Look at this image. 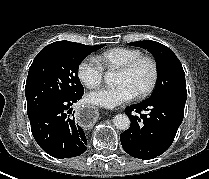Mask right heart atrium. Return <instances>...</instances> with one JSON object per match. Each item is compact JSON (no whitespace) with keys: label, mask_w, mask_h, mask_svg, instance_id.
<instances>
[{"label":"right heart atrium","mask_w":209,"mask_h":179,"mask_svg":"<svg viewBox=\"0 0 209 179\" xmlns=\"http://www.w3.org/2000/svg\"><path fill=\"white\" fill-rule=\"evenodd\" d=\"M77 74L82 84L92 89L101 84L104 70L94 58L87 57L79 63Z\"/></svg>","instance_id":"1"}]
</instances>
